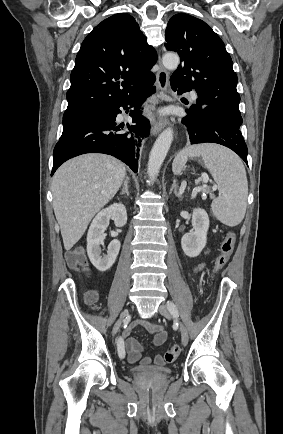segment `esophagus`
<instances>
[{
  "label": "esophagus",
  "instance_id": "1",
  "mask_svg": "<svg viewBox=\"0 0 283 434\" xmlns=\"http://www.w3.org/2000/svg\"><path fill=\"white\" fill-rule=\"evenodd\" d=\"M157 86L161 94H165L168 89L169 74L162 66L159 60V70L157 72ZM166 118H160L158 120H153L151 123V133L152 135L158 134L167 124Z\"/></svg>",
  "mask_w": 283,
  "mask_h": 434
}]
</instances>
